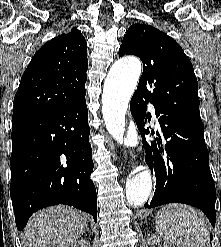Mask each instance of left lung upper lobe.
<instances>
[{"label": "left lung upper lobe", "mask_w": 221, "mask_h": 247, "mask_svg": "<svg viewBox=\"0 0 221 247\" xmlns=\"http://www.w3.org/2000/svg\"><path fill=\"white\" fill-rule=\"evenodd\" d=\"M124 55H135L143 62L135 94L163 114L202 122L192 63L174 39L153 26L133 24L119 49V57Z\"/></svg>", "instance_id": "left-lung-upper-lobe-1"}]
</instances>
